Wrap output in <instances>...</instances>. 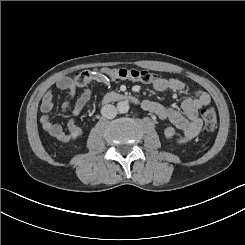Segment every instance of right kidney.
<instances>
[{
    "mask_svg": "<svg viewBox=\"0 0 245 245\" xmlns=\"http://www.w3.org/2000/svg\"><path fill=\"white\" fill-rule=\"evenodd\" d=\"M70 136H71L72 139H76L77 136H78V132H73V133H71Z\"/></svg>",
    "mask_w": 245,
    "mask_h": 245,
    "instance_id": "ca27d5eb",
    "label": "right kidney"
}]
</instances>
